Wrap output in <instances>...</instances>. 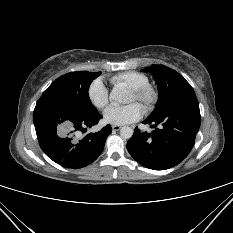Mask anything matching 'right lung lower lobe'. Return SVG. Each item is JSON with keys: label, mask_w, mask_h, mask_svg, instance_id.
Listing matches in <instances>:
<instances>
[{"label": "right lung lower lobe", "mask_w": 233, "mask_h": 233, "mask_svg": "<svg viewBox=\"0 0 233 233\" xmlns=\"http://www.w3.org/2000/svg\"><path fill=\"white\" fill-rule=\"evenodd\" d=\"M33 117L41 149L66 168H81L95 161L112 131L107 125L99 132L79 138V132L96 125L102 115L97 110L87 113L72 110L51 96H41Z\"/></svg>", "instance_id": "98d812e1"}]
</instances>
